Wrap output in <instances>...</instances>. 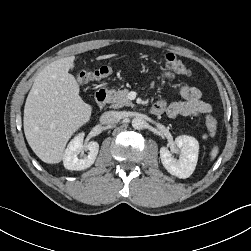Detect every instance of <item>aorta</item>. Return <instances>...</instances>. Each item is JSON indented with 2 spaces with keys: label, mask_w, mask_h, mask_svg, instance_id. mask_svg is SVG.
<instances>
[{
  "label": "aorta",
  "mask_w": 251,
  "mask_h": 251,
  "mask_svg": "<svg viewBox=\"0 0 251 251\" xmlns=\"http://www.w3.org/2000/svg\"><path fill=\"white\" fill-rule=\"evenodd\" d=\"M145 121L141 117H135L132 120V127L134 129L140 130L144 127Z\"/></svg>",
  "instance_id": "aorta-1"
}]
</instances>
